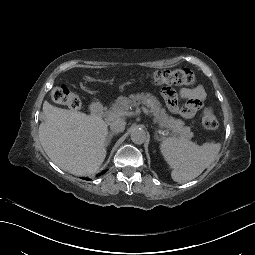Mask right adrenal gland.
Segmentation results:
<instances>
[{
  "label": "right adrenal gland",
  "mask_w": 255,
  "mask_h": 255,
  "mask_svg": "<svg viewBox=\"0 0 255 255\" xmlns=\"http://www.w3.org/2000/svg\"><path fill=\"white\" fill-rule=\"evenodd\" d=\"M114 135H115V133H112V134L109 135L108 140H107V145H109V143H110V141H111V139L113 138Z\"/></svg>",
  "instance_id": "1"
}]
</instances>
